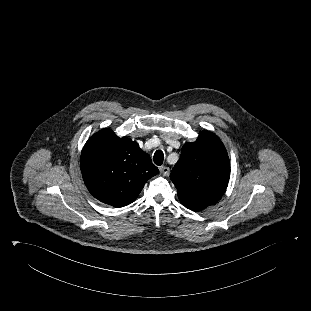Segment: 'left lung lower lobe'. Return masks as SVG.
<instances>
[{
  "instance_id": "left-lung-lower-lobe-1",
  "label": "left lung lower lobe",
  "mask_w": 311,
  "mask_h": 311,
  "mask_svg": "<svg viewBox=\"0 0 311 311\" xmlns=\"http://www.w3.org/2000/svg\"><path fill=\"white\" fill-rule=\"evenodd\" d=\"M185 207L191 209V210H194V211H199V210H202L204 208H206L207 206L206 205H200V206H195V205H189L185 202H181Z\"/></svg>"
}]
</instances>
